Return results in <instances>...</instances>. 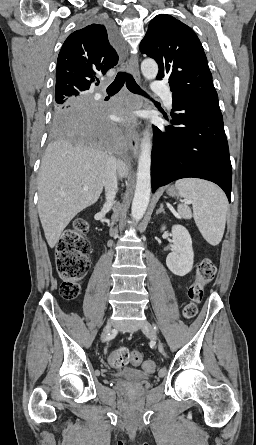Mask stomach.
I'll return each instance as SVG.
<instances>
[{
    "instance_id": "obj_1",
    "label": "stomach",
    "mask_w": 256,
    "mask_h": 445,
    "mask_svg": "<svg viewBox=\"0 0 256 445\" xmlns=\"http://www.w3.org/2000/svg\"><path fill=\"white\" fill-rule=\"evenodd\" d=\"M167 194L170 196H178L179 191L174 186H169L167 189Z\"/></svg>"
}]
</instances>
